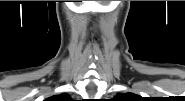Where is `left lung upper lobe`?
Returning <instances> with one entry per match:
<instances>
[{"label":"left lung upper lobe","mask_w":185,"mask_h":101,"mask_svg":"<svg viewBox=\"0 0 185 101\" xmlns=\"http://www.w3.org/2000/svg\"><path fill=\"white\" fill-rule=\"evenodd\" d=\"M135 96L132 93H126V94H118L115 98L120 99L119 101H126V99H132V97Z\"/></svg>","instance_id":"1"}]
</instances>
